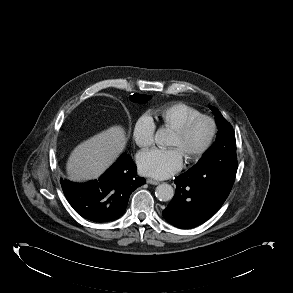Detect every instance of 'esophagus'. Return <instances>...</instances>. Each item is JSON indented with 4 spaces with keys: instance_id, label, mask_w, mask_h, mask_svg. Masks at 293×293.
Returning a JSON list of instances; mask_svg holds the SVG:
<instances>
[{
    "instance_id": "esophagus-1",
    "label": "esophagus",
    "mask_w": 293,
    "mask_h": 293,
    "mask_svg": "<svg viewBox=\"0 0 293 293\" xmlns=\"http://www.w3.org/2000/svg\"><path fill=\"white\" fill-rule=\"evenodd\" d=\"M147 183L148 184H151V185H158V184H160V182L159 181H157V180H154V179H147Z\"/></svg>"
}]
</instances>
